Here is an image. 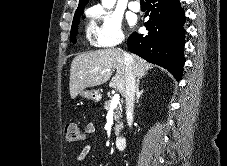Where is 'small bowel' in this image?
I'll use <instances>...</instances> for the list:
<instances>
[{"label":"small bowel","instance_id":"1","mask_svg":"<svg viewBox=\"0 0 227 166\" xmlns=\"http://www.w3.org/2000/svg\"><path fill=\"white\" fill-rule=\"evenodd\" d=\"M96 128L93 123H88L85 127V132L87 134H93L95 132ZM93 147L91 145L85 146L81 152L77 155L76 160L77 162H82L92 151Z\"/></svg>","mask_w":227,"mask_h":166}]
</instances>
